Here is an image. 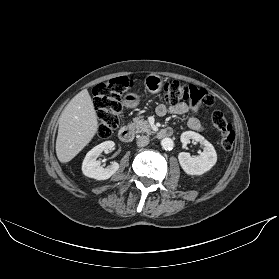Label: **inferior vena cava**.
Wrapping results in <instances>:
<instances>
[{"label":"inferior vena cava","mask_w":279,"mask_h":279,"mask_svg":"<svg viewBox=\"0 0 279 279\" xmlns=\"http://www.w3.org/2000/svg\"><path fill=\"white\" fill-rule=\"evenodd\" d=\"M149 137L145 135L138 136L137 138V146L144 147L149 144Z\"/></svg>","instance_id":"602c4592"}]
</instances>
